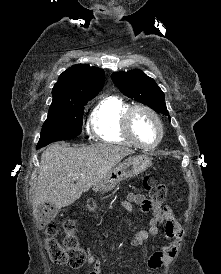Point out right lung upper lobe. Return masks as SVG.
I'll use <instances>...</instances> for the list:
<instances>
[{"label": "right lung upper lobe", "instance_id": "obj_1", "mask_svg": "<svg viewBox=\"0 0 221 274\" xmlns=\"http://www.w3.org/2000/svg\"><path fill=\"white\" fill-rule=\"evenodd\" d=\"M104 71L86 64H77L63 72L52 89L53 101L60 102L98 94L103 88Z\"/></svg>", "mask_w": 221, "mask_h": 274}]
</instances>
